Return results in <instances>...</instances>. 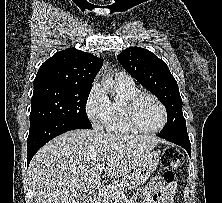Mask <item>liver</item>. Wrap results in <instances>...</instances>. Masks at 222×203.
I'll use <instances>...</instances> for the list:
<instances>
[{
    "mask_svg": "<svg viewBox=\"0 0 222 203\" xmlns=\"http://www.w3.org/2000/svg\"><path fill=\"white\" fill-rule=\"evenodd\" d=\"M159 141L149 135L66 132L45 144L30 163L35 203H83L106 176L126 178ZM100 166L104 168L98 170Z\"/></svg>",
    "mask_w": 222,
    "mask_h": 203,
    "instance_id": "1",
    "label": "liver"
}]
</instances>
